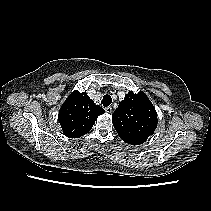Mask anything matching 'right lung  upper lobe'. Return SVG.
I'll list each match as a JSON object with an SVG mask.
<instances>
[{
	"label": "right lung upper lobe",
	"mask_w": 211,
	"mask_h": 211,
	"mask_svg": "<svg viewBox=\"0 0 211 211\" xmlns=\"http://www.w3.org/2000/svg\"><path fill=\"white\" fill-rule=\"evenodd\" d=\"M103 113L104 109L95 105L86 92L74 91L61 106L58 120L67 137L78 138L87 134Z\"/></svg>",
	"instance_id": "cb5924a9"
}]
</instances>
